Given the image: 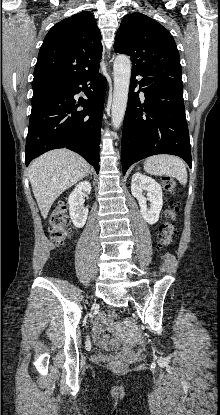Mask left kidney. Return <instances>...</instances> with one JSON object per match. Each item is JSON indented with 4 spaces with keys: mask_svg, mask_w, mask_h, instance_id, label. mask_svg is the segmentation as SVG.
I'll list each match as a JSON object with an SVG mask.
<instances>
[{
    "mask_svg": "<svg viewBox=\"0 0 220 415\" xmlns=\"http://www.w3.org/2000/svg\"><path fill=\"white\" fill-rule=\"evenodd\" d=\"M143 191L147 192V198L143 195ZM132 195L138 200L140 213L148 224H155L159 219L162 209V188L151 177L135 173L132 176L131 183ZM147 200L150 201V207L146 205Z\"/></svg>",
    "mask_w": 220,
    "mask_h": 415,
    "instance_id": "5707ae66",
    "label": "left kidney"
}]
</instances>
